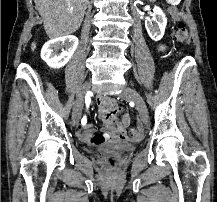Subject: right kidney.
Instances as JSON below:
<instances>
[{"label":"right kidney","mask_w":217,"mask_h":202,"mask_svg":"<svg viewBox=\"0 0 217 202\" xmlns=\"http://www.w3.org/2000/svg\"><path fill=\"white\" fill-rule=\"evenodd\" d=\"M78 46L76 36H63L55 38L44 44L41 50V58L50 68H62L69 62Z\"/></svg>","instance_id":"right-kidney-1"}]
</instances>
